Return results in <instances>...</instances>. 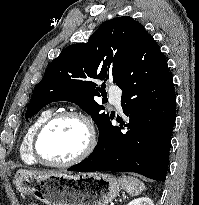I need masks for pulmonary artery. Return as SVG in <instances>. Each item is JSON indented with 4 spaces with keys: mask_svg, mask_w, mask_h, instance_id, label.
Instances as JSON below:
<instances>
[{
    "mask_svg": "<svg viewBox=\"0 0 199 205\" xmlns=\"http://www.w3.org/2000/svg\"><path fill=\"white\" fill-rule=\"evenodd\" d=\"M110 101L111 103L117 107V109H121V90L118 88H113L109 90Z\"/></svg>",
    "mask_w": 199,
    "mask_h": 205,
    "instance_id": "1",
    "label": "pulmonary artery"
}]
</instances>
